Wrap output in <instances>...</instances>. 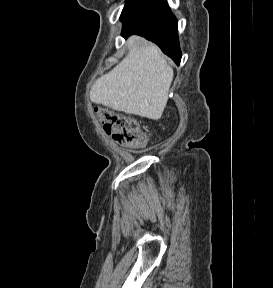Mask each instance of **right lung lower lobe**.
Returning a JSON list of instances; mask_svg holds the SVG:
<instances>
[{
    "label": "right lung lower lobe",
    "mask_w": 273,
    "mask_h": 288,
    "mask_svg": "<svg viewBox=\"0 0 273 288\" xmlns=\"http://www.w3.org/2000/svg\"><path fill=\"white\" fill-rule=\"evenodd\" d=\"M122 22L124 38L131 34L144 36L180 64L177 20L166 0H139Z\"/></svg>",
    "instance_id": "obj_1"
}]
</instances>
